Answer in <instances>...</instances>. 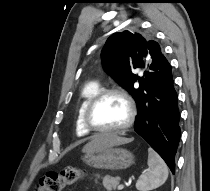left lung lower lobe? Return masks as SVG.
I'll list each match as a JSON object with an SVG mask.
<instances>
[{"label": "left lung lower lobe", "mask_w": 210, "mask_h": 191, "mask_svg": "<svg viewBox=\"0 0 210 191\" xmlns=\"http://www.w3.org/2000/svg\"><path fill=\"white\" fill-rule=\"evenodd\" d=\"M136 103L135 131L164 159L174 174L181 134L180 114L172 67L167 59L150 76L148 86Z\"/></svg>", "instance_id": "1"}]
</instances>
